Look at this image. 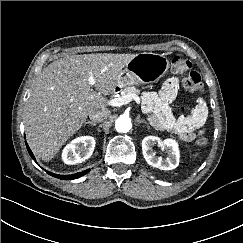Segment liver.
I'll list each match as a JSON object with an SVG mask.
<instances>
[{
    "mask_svg": "<svg viewBox=\"0 0 243 243\" xmlns=\"http://www.w3.org/2000/svg\"><path fill=\"white\" fill-rule=\"evenodd\" d=\"M134 54L71 55L49 64L32 87L25 107L29 146L42 160L55 157L85 123L92 110L106 108V96ZM95 78L92 86L88 79Z\"/></svg>",
    "mask_w": 243,
    "mask_h": 243,
    "instance_id": "liver-1",
    "label": "liver"
}]
</instances>
